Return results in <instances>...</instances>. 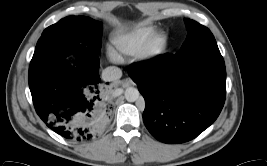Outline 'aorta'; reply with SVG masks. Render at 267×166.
Returning <instances> with one entry per match:
<instances>
[{"label": "aorta", "instance_id": "aorta-1", "mask_svg": "<svg viewBox=\"0 0 267 166\" xmlns=\"http://www.w3.org/2000/svg\"><path fill=\"white\" fill-rule=\"evenodd\" d=\"M125 99L128 102H135L139 99L140 93L138 91V89L134 88V87H128L125 90Z\"/></svg>", "mask_w": 267, "mask_h": 166}]
</instances>
